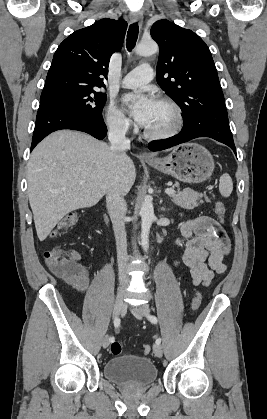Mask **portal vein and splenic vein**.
I'll use <instances>...</instances> for the list:
<instances>
[{"instance_id": "portal-vein-and-splenic-vein-1", "label": "portal vein and splenic vein", "mask_w": 267, "mask_h": 419, "mask_svg": "<svg viewBox=\"0 0 267 419\" xmlns=\"http://www.w3.org/2000/svg\"><path fill=\"white\" fill-rule=\"evenodd\" d=\"M165 193H166L167 195H173V194L175 193V190H174V189H172V188H167V189L165 190Z\"/></svg>"}]
</instances>
